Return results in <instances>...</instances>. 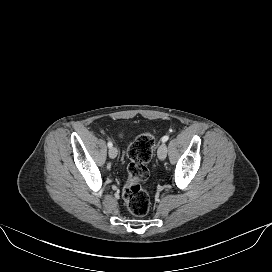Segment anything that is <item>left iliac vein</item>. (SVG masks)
<instances>
[{
	"label": "left iliac vein",
	"mask_w": 272,
	"mask_h": 272,
	"mask_svg": "<svg viewBox=\"0 0 272 272\" xmlns=\"http://www.w3.org/2000/svg\"><path fill=\"white\" fill-rule=\"evenodd\" d=\"M157 155H158V158L160 160H164L166 158V155H167V146L165 143H162L159 148H158V151H157Z\"/></svg>",
	"instance_id": "4c4485c4"
}]
</instances>
